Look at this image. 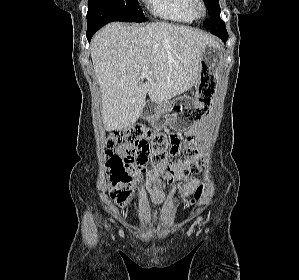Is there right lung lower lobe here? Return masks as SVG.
Listing matches in <instances>:
<instances>
[{"label":"right lung lower lobe","instance_id":"98d812e1","mask_svg":"<svg viewBox=\"0 0 299 280\" xmlns=\"http://www.w3.org/2000/svg\"><path fill=\"white\" fill-rule=\"evenodd\" d=\"M112 21L131 22L127 16L114 7L101 2L92 1L88 3L87 32L86 36L90 42L92 36L105 24Z\"/></svg>","mask_w":299,"mask_h":280}]
</instances>
